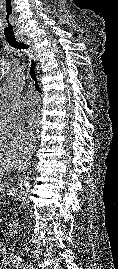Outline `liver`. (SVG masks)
Returning a JSON list of instances; mask_svg holds the SVG:
<instances>
[{
	"label": "liver",
	"instance_id": "1",
	"mask_svg": "<svg viewBox=\"0 0 118 269\" xmlns=\"http://www.w3.org/2000/svg\"><path fill=\"white\" fill-rule=\"evenodd\" d=\"M26 164L25 155L17 149L1 148L0 150V180L8 170H23Z\"/></svg>",
	"mask_w": 118,
	"mask_h": 269
}]
</instances>
